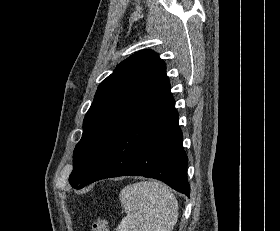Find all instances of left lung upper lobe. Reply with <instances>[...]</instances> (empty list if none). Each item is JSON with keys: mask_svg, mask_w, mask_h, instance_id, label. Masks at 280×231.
<instances>
[{"mask_svg": "<svg viewBox=\"0 0 280 231\" xmlns=\"http://www.w3.org/2000/svg\"><path fill=\"white\" fill-rule=\"evenodd\" d=\"M165 62L143 50L121 62L98 87L73 154L69 183L77 188L96 159L123 129L149 114L170 93Z\"/></svg>", "mask_w": 280, "mask_h": 231, "instance_id": "left-lung-upper-lobe-1", "label": "left lung upper lobe"}]
</instances>
